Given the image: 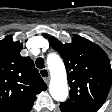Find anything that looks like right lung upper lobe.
Segmentation results:
<instances>
[{"label":"right lung upper lobe","instance_id":"right-lung-upper-lobe-1","mask_svg":"<svg viewBox=\"0 0 112 112\" xmlns=\"http://www.w3.org/2000/svg\"><path fill=\"white\" fill-rule=\"evenodd\" d=\"M22 44L12 36L0 41V112H29L36 95L47 89L29 57H22Z\"/></svg>","mask_w":112,"mask_h":112}]
</instances>
